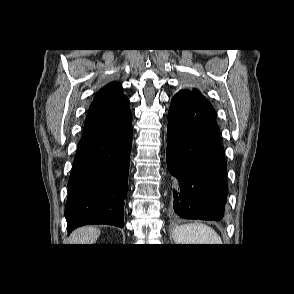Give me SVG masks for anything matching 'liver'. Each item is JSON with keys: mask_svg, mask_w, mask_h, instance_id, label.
<instances>
[{"mask_svg": "<svg viewBox=\"0 0 294 294\" xmlns=\"http://www.w3.org/2000/svg\"><path fill=\"white\" fill-rule=\"evenodd\" d=\"M100 236V230L93 226H83L70 235L71 244H93Z\"/></svg>", "mask_w": 294, "mask_h": 294, "instance_id": "1", "label": "liver"}]
</instances>
